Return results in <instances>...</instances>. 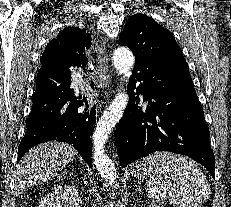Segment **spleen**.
Here are the masks:
<instances>
[{
    "instance_id": "1",
    "label": "spleen",
    "mask_w": 231,
    "mask_h": 207,
    "mask_svg": "<svg viewBox=\"0 0 231 207\" xmlns=\"http://www.w3.org/2000/svg\"><path fill=\"white\" fill-rule=\"evenodd\" d=\"M139 173L150 177L149 197L157 202H169L174 207H197L208 199L210 184L197 164L171 152H155L140 163Z\"/></svg>"
}]
</instances>
